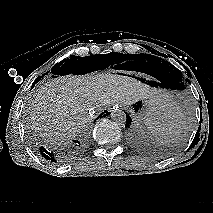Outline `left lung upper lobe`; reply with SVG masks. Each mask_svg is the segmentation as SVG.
<instances>
[{"instance_id":"obj_1","label":"left lung upper lobe","mask_w":213,"mask_h":213,"mask_svg":"<svg viewBox=\"0 0 213 213\" xmlns=\"http://www.w3.org/2000/svg\"><path fill=\"white\" fill-rule=\"evenodd\" d=\"M140 71L153 77H164L170 80L174 90H184L185 82L182 79V73L175 66L166 60L160 58L157 54H139L133 61ZM187 82V80H185Z\"/></svg>"}]
</instances>
